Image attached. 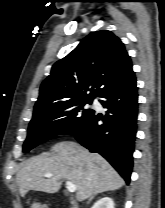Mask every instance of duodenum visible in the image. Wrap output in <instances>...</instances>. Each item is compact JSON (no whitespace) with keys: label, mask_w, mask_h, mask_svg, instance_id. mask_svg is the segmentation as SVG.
<instances>
[{"label":"duodenum","mask_w":165,"mask_h":208,"mask_svg":"<svg viewBox=\"0 0 165 208\" xmlns=\"http://www.w3.org/2000/svg\"><path fill=\"white\" fill-rule=\"evenodd\" d=\"M67 207H68V208H78V207H76V206H74V205H72V204H69V203H67Z\"/></svg>","instance_id":"obj_1"}]
</instances>
